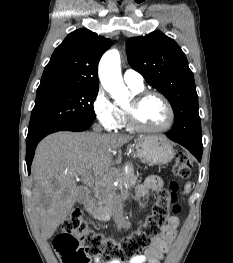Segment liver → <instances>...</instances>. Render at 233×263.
I'll return each mask as SVG.
<instances>
[{
  "mask_svg": "<svg viewBox=\"0 0 233 263\" xmlns=\"http://www.w3.org/2000/svg\"><path fill=\"white\" fill-rule=\"evenodd\" d=\"M125 134L57 132L37 146L32 163L33 200L44 239L52 237L77 201L75 175L93 172L97 181L112 180V152L132 140Z\"/></svg>",
  "mask_w": 233,
  "mask_h": 263,
  "instance_id": "1",
  "label": "liver"
}]
</instances>
